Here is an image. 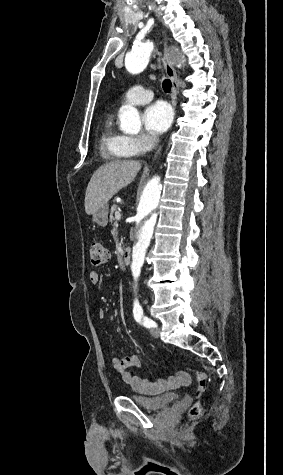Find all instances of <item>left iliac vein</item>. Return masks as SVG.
I'll use <instances>...</instances> for the list:
<instances>
[{
  "label": "left iliac vein",
  "mask_w": 283,
  "mask_h": 475,
  "mask_svg": "<svg viewBox=\"0 0 283 475\" xmlns=\"http://www.w3.org/2000/svg\"><path fill=\"white\" fill-rule=\"evenodd\" d=\"M150 334H151L154 338H158V337H159V329H158V328H151V329H150Z\"/></svg>",
  "instance_id": "4c4485c4"
}]
</instances>
